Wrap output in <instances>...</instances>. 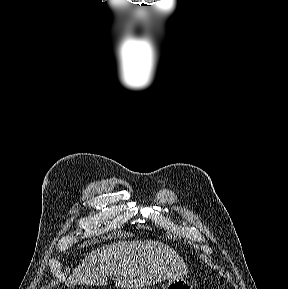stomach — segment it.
<instances>
[{
	"label": "stomach",
	"instance_id": "1",
	"mask_svg": "<svg viewBox=\"0 0 288 289\" xmlns=\"http://www.w3.org/2000/svg\"><path fill=\"white\" fill-rule=\"evenodd\" d=\"M149 289V288H145ZM163 289H193L191 283L184 278H177L169 280L165 285H163Z\"/></svg>",
	"mask_w": 288,
	"mask_h": 289
}]
</instances>
